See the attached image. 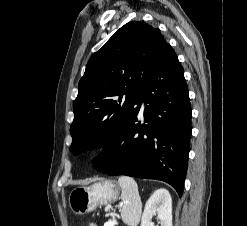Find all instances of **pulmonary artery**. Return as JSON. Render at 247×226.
Masks as SVG:
<instances>
[{"label": "pulmonary artery", "mask_w": 247, "mask_h": 226, "mask_svg": "<svg viewBox=\"0 0 247 226\" xmlns=\"http://www.w3.org/2000/svg\"><path fill=\"white\" fill-rule=\"evenodd\" d=\"M142 107L144 108V102L142 103Z\"/></svg>", "instance_id": "1"}]
</instances>
